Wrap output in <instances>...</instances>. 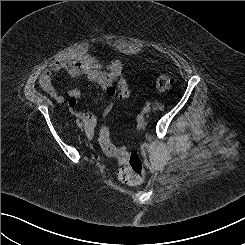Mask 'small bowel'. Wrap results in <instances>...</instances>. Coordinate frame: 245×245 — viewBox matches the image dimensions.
Listing matches in <instances>:
<instances>
[{"label": "small bowel", "instance_id": "c3829d8e", "mask_svg": "<svg viewBox=\"0 0 245 245\" xmlns=\"http://www.w3.org/2000/svg\"><path fill=\"white\" fill-rule=\"evenodd\" d=\"M61 70L66 71L71 77L85 76L105 91L109 102L103 110L102 118L110 114L118 98L126 99L130 95L128 83L124 78V66L119 60H113L104 68L98 59L92 56H84L69 61H54L42 73L40 84L57 103H63L65 98L54 88L52 76ZM67 95L69 97L68 108L70 112L83 120L88 129H93L99 121V117L77 109L78 100L83 96V93L78 88H71L67 91Z\"/></svg>", "mask_w": 245, "mask_h": 245}]
</instances>
